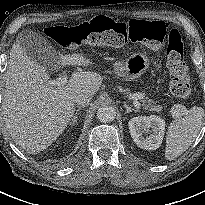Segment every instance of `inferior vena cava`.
I'll return each mask as SVG.
<instances>
[{"mask_svg":"<svg viewBox=\"0 0 205 205\" xmlns=\"http://www.w3.org/2000/svg\"><path fill=\"white\" fill-rule=\"evenodd\" d=\"M92 99V94L90 93H80L75 97V103L77 105H85L89 103V101Z\"/></svg>","mask_w":205,"mask_h":205,"instance_id":"602c4592","label":"inferior vena cava"}]
</instances>
